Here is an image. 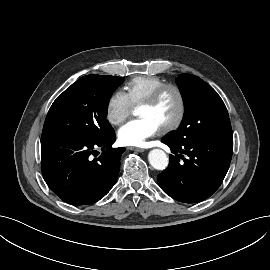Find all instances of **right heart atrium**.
Masks as SVG:
<instances>
[{"instance_id":"obj_1","label":"right heart atrium","mask_w":270,"mask_h":270,"mask_svg":"<svg viewBox=\"0 0 270 270\" xmlns=\"http://www.w3.org/2000/svg\"><path fill=\"white\" fill-rule=\"evenodd\" d=\"M134 108L128 94L116 90L108 99L106 106V119L112 125H119L128 118Z\"/></svg>"}]
</instances>
